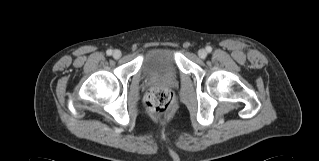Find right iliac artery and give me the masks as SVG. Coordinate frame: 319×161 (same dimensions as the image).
Here are the masks:
<instances>
[{
  "label": "right iliac artery",
  "instance_id": "obj_1",
  "mask_svg": "<svg viewBox=\"0 0 319 161\" xmlns=\"http://www.w3.org/2000/svg\"><path fill=\"white\" fill-rule=\"evenodd\" d=\"M106 53H107V55H109V56H110V55H112V50H111V49H109V50H107V52H106Z\"/></svg>",
  "mask_w": 319,
  "mask_h": 161
}]
</instances>
